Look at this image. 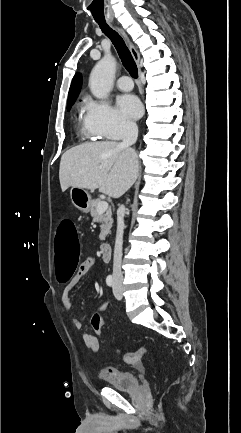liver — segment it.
<instances>
[{"label":"liver","instance_id":"liver-1","mask_svg":"<svg viewBox=\"0 0 241 433\" xmlns=\"http://www.w3.org/2000/svg\"><path fill=\"white\" fill-rule=\"evenodd\" d=\"M138 156L121 143H85L66 151L60 161L62 191L69 187L95 190L113 198L122 196L138 175Z\"/></svg>","mask_w":241,"mask_h":433}]
</instances>
